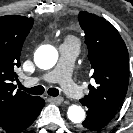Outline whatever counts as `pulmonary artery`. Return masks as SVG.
I'll list each match as a JSON object with an SVG mask.
<instances>
[{
    "label": "pulmonary artery",
    "instance_id": "1",
    "mask_svg": "<svg viewBox=\"0 0 133 133\" xmlns=\"http://www.w3.org/2000/svg\"><path fill=\"white\" fill-rule=\"evenodd\" d=\"M78 52L79 45L77 43H63L60 46V58L56 67L39 77L26 79L24 84L29 86L39 82H58L69 97L73 99L80 98L83 91L71 77V71Z\"/></svg>",
    "mask_w": 133,
    "mask_h": 133
}]
</instances>
